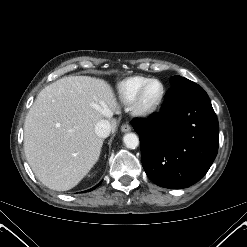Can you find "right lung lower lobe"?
I'll list each match as a JSON object with an SVG mask.
<instances>
[{"label": "right lung lower lobe", "mask_w": 247, "mask_h": 247, "mask_svg": "<svg viewBox=\"0 0 247 247\" xmlns=\"http://www.w3.org/2000/svg\"><path fill=\"white\" fill-rule=\"evenodd\" d=\"M100 183H101V182H100ZM98 185H99V184H98ZM98 185H97V186H98ZM97 186H95V187H94V188H92V189H89L88 191H91V190L95 189Z\"/></svg>", "instance_id": "right-lung-lower-lobe-1"}]
</instances>
